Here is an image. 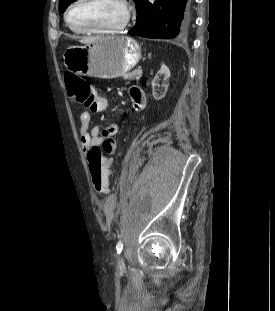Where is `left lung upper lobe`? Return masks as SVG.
I'll return each mask as SVG.
<instances>
[{
	"label": "left lung upper lobe",
	"instance_id": "obj_1",
	"mask_svg": "<svg viewBox=\"0 0 275 311\" xmlns=\"http://www.w3.org/2000/svg\"><path fill=\"white\" fill-rule=\"evenodd\" d=\"M74 1L76 0H60L59 7H60L61 12L63 13L67 9V7ZM134 2L136 3L137 13H138L144 0H134Z\"/></svg>",
	"mask_w": 275,
	"mask_h": 311
}]
</instances>
